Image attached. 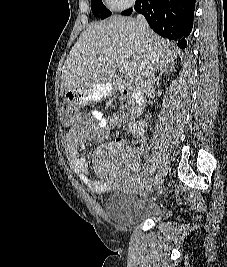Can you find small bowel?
Here are the masks:
<instances>
[{
    "label": "small bowel",
    "mask_w": 227,
    "mask_h": 267,
    "mask_svg": "<svg viewBox=\"0 0 227 267\" xmlns=\"http://www.w3.org/2000/svg\"><path fill=\"white\" fill-rule=\"evenodd\" d=\"M90 117L92 121L95 122V125L93 126L90 123H86L73 128L71 132L66 134L63 138L64 149L72 171L86 188L92 193H103L106 191V183L96 179L90 173L87 161L82 156L81 152L90 141H103L107 139L112 130L121 126V120L116 115H113L112 119L108 120L105 118L104 114L98 110L90 111ZM128 165L131 168V165ZM137 174L140 176L141 180L136 187V191L144 193L149 189V184L146 181V173L137 171Z\"/></svg>",
    "instance_id": "c3829d8e"
}]
</instances>
